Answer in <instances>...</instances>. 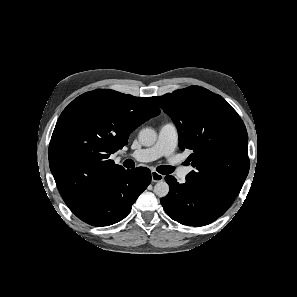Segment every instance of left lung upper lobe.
Returning a JSON list of instances; mask_svg holds the SVG:
<instances>
[{
    "label": "left lung upper lobe",
    "mask_w": 297,
    "mask_h": 297,
    "mask_svg": "<svg viewBox=\"0 0 297 297\" xmlns=\"http://www.w3.org/2000/svg\"><path fill=\"white\" fill-rule=\"evenodd\" d=\"M172 117L181 150L193 151L195 167L186 182L224 208H229L249 172L248 135L237 112L223 97L199 86L153 97Z\"/></svg>",
    "instance_id": "obj_1"
}]
</instances>
